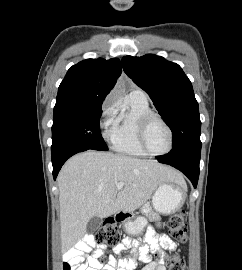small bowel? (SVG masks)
<instances>
[{
    "mask_svg": "<svg viewBox=\"0 0 242 270\" xmlns=\"http://www.w3.org/2000/svg\"><path fill=\"white\" fill-rule=\"evenodd\" d=\"M144 240L145 244H141L136 239L126 238L115 247V252L121 254L126 249H131L140 261L147 264L144 270H166L163 260L152 261L151 254L155 255L163 249L175 250L176 243L165 234H157L151 227L146 229ZM92 249V255H88ZM103 255L102 247L94 242L91 235H86L83 241L65 254L63 264L69 263L73 270H132L135 266L133 258L125 257H110L108 264H103L100 261Z\"/></svg>",
    "mask_w": 242,
    "mask_h": 270,
    "instance_id": "obj_1",
    "label": "small bowel"
}]
</instances>
